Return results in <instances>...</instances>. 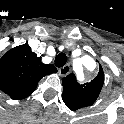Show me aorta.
Masks as SVG:
<instances>
[{
	"instance_id": "1",
	"label": "aorta",
	"mask_w": 124,
	"mask_h": 124,
	"mask_svg": "<svg viewBox=\"0 0 124 124\" xmlns=\"http://www.w3.org/2000/svg\"><path fill=\"white\" fill-rule=\"evenodd\" d=\"M76 63H77V61H75ZM79 75H80V77L82 78V73L81 72H79Z\"/></svg>"
}]
</instances>
